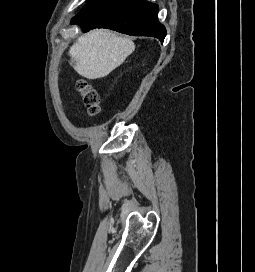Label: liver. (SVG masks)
<instances>
[{"label":"liver","instance_id":"liver-1","mask_svg":"<svg viewBox=\"0 0 255 272\" xmlns=\"http://www.w3.org/2000/svg\"><path fill=\"white\" fill-rule=\"evenodd\" d=\"M134 50L135 44L131 39L96 29L80 36L70 48L69 55L75 71L93 80L107 76Z\"/></svg>","mask_w":255,"mask_h":272}]
</instances>
